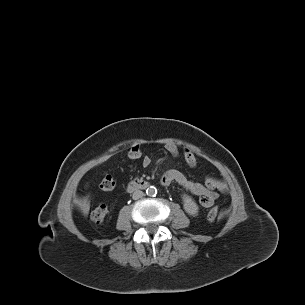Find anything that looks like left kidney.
I'll use <instances>...</instances> for the list:
<instances>
[{
    "label": "left kidney",
    "mask_w": 305,
    "mask_h": 305,
    "mask_svg": "<svg viewBox=\"0 0 305 305\" xmlns=\"http://www.w3.org/2000/svg\"><path fill=\"white\" fill-rule=\"evenodd\" d=\"M182 200L185 212L191 216H196L199 212V207L193 198L188 194H183Z\"/></svg>",
    "instance_id": "left-kidney-1"
}]
</instances>
